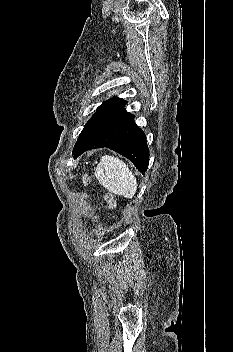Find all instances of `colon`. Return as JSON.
Instances as JSON below:
<instances>
[{
    "label": "colon",
    "instance_id": "1",
    "mask_svg": "<svg viewBox=\"0 0 233 352\" xmlns=\"http://www.w3.org/2000/svg\"><path fill=\"white\" fill-rule=\"evenodd\" d=\"M106 201H107V203H108V205H109L110 207H113V206H114V199H113V197L107 196V197H106Z\"/></svg>",
    "mask_w": 233,
    "mask_h": 352
}]
</instances>
